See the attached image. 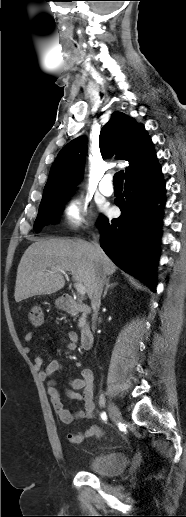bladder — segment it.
Instances as JSON below:
<instances>
[{"mask_svg": "<svg viewBox=\"0 0 186 517\" xmlns=\"http://www.w3.org/2000/svg\"><path fill=\"white\" fill-rule=\"evenodd\" d=\"M128 457L124 452L98 455L88 461V470L100 476H116L127 467Z\"/></svg>", "mask_w": 186, "mask_h": 517, "instance_id": "1", "label": "bladder"}]
</instances>
